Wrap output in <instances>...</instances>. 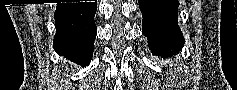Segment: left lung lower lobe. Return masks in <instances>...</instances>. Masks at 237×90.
Wrapping results in <instances>:
<instances>
[{"label":"left lung lower lobe","instance_id":"obj_1","mask_svg":"<svg viewBox=\"0 0 237 90\" xmlns=\"http://www.w3.org/2000/svg\"><path fill=\"white\" fill-rule=\"evenodd\" d=\"M177 0H139L142 12V32L148 38L153 55L180 51L183 35L177 24Z\"/></svg>","mask_w":237,"mask_h":90}]
</instances>
